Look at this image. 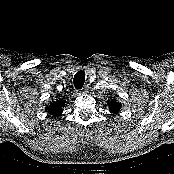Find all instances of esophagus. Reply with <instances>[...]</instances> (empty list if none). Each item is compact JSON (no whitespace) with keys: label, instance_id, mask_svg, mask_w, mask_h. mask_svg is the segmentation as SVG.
<instances>
[{"label":"esophagus","instance_id":"esophagus-1","mask_svg":"<svg viewBox=\"0 0 174 174\" xmlns=\"http://www.w3.org/2000/svg\"><path fill=\"white\" fill-rule=\"evenodd\" d=\"M88 86L86 85V86H84L82 89H80L78 92H79V94H81V93H87L88 92Z\"/></svg>","mask_w":174,"mask_h":174}]
</instances>
